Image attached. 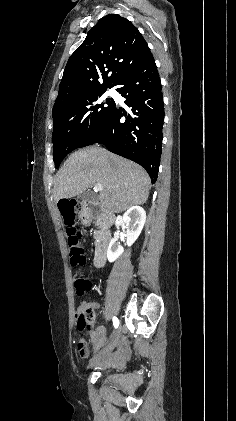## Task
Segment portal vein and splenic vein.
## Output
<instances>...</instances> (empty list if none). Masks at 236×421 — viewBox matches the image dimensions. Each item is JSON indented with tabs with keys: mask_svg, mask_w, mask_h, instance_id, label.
I'll return each mask as SVG.
<instances>
[{
	"mask_svg": "<svg viewBox=\"0 0 236 421\" xmlns=\"http://www.w3.org/2000/svg\"><path fill=\"white\" fill-rule=\"evenodd\" d=\"M102 184H94V190H102Z\"/></svg>",
	"mask_w": 236,
	"mask_h": 421,
	"instance_id": "18ae733b",
	"label": "portal vein and splenic vein"
}]
</instances>
